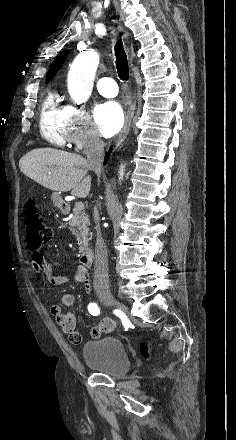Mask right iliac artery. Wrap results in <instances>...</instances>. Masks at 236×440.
Here are the masks:
<instances>
[{"mask_svg": "<svg viewBox=\"0 0 236 440\" xmlns=\"http://www.w3.org/2000/svg\"><path fill=\"white\" fill-rule=\"evenodd\" d=\"M88 311L93 316H98L100 314V308L98 305L94 302L89 303L88 305Z\"/></svg>", "mask_w": 236, "mask_h": 440, "instance_id": "1", "label": "right iliac artery"}]
</instances>
